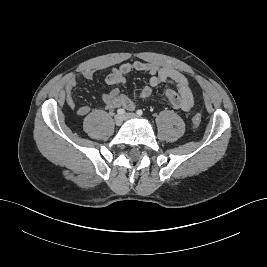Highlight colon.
<instances>
[{
  "mask_svg": "<svg viewBox=\"0 0 267 267\" xmlns=\"http://www.w3.org/2000/svg\"><path fill=\"white\" fill-rule=\"evenodd\" d=\"M192 124L194 127H198L201 124V116L198 113H195L192 116Z\"/></svg>",
  "mask_w": 267,
  "mask_h": 267,
  "instance_id": "colon-1",
  "label": "colon"
}]
</instances>
